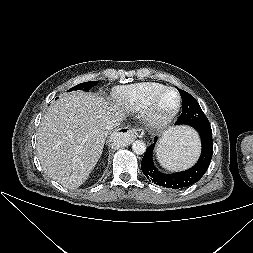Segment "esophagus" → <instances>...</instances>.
<instances>
[{
	"label": "esophagus",
	"instance_id": "esophagus-1",
	"mask_svg": "<svg viewBox=\"0 0 253 253\" xmlns=\"http://www.w3.org/2000/svg\"><path fill=\"white\" fill-rule=\"evenodd\" d=\"M138 130L137 129H135V128H128V127H125V128H121V129H119V131H118V133L120 134H125V133H128L129 134V136H131L133 139H135L136 138V135H135V133L137 132Z\"/></svg>",
	"mask_w": 253,
	"mask_h": 253
}]
</instances>
